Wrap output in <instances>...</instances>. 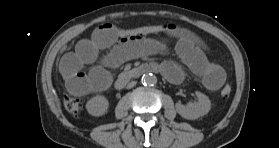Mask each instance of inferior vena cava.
Here are the masks:
<instances>
[{
	"label": "inferior vena cava",
	"mask_w": 279,
	"mask_h": 148,
	"mask_svg": "<svg viewBox=\"0 0 279 148\" xmlns=\"http://www.w3.org/2000/svg\"><path fill=\"white\" fill-rule=\"evenodd\" d=\"M136 81H131L130 83H128L127 85V88L130 89V88H133L135 85H136Z\"/></svg>",
	"instance_id": "1"
}]
</instances>
